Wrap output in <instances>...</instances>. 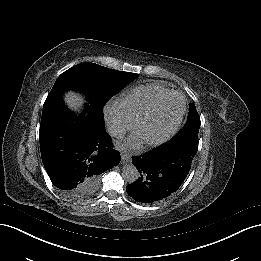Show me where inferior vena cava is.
<instances>
[{
  "mask_svg": "<svg viewBox=\"0 0 261 261\" xmlns=\"http://www.w3.org/2000/svg\"><path fill=\"white\" fill-rule=\"evenodd\" d=\"M106 131L110 136L117 139H122L126 134L125 127L121 123L113 120L106 121Z\"/></svg>",
  "mask_w": 261,
  "mask_h": 261,
  "instance_id": "602c4592",
  "label": "inferior vena cava"
}]
</instances>
